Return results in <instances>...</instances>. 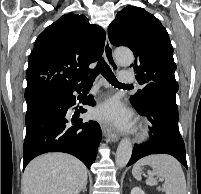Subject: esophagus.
Masks as SVG:
<instances>
[{
  "label": "esophagus",
  "mask_w": 201,
  "mask_h": 194,
  "mask_svg": "<svg viewBox=\"0 0 201 194\" xmlns=\"http://www.w3.org/2000/svg\"><path fill=\"white\" fill-rule=\"evenodd\" d=\"M104 56L111 69L114 71H118L119 67L114 59L113 48L108 37H106L104 44ZM104 136L107 140H110L112 142H117L119 139V134L112 127H106L104 131Z\"/></svg>",
  "instance_id": "obj_1"
}]
</instances>
